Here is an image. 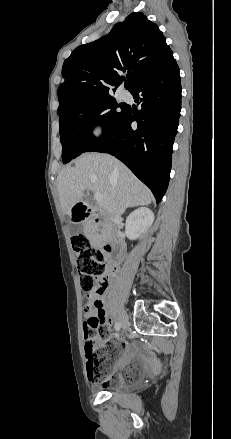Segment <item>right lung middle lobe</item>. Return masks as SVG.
<instances>
[{
  "label": "right lung middle lobe",
  "mask_w": 231,
  "mask_h": 439,
  "mask_svg": "<svg viewBox=\"0 0 231 439\" xmlns=\"http://www.w3.org/2000/svg\"><path fill=\"white\" fill-rule=\"evenodd\" d=\"M122 106L110 96L83 101L59 113L63 163L85 152L97 140L91 133L96 123L103 125L104 133L110 130L126 111L127 107ZM116 107H121V112Z\"/></svg>",
  "instance_id": "1"
}]
</instances>
